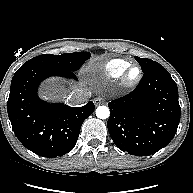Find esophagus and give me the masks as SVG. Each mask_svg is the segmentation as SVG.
<instances>
[{
	"label": "esophagus",
	"instance_id": "esophagus-1",
	"mask_svg": "<svg viewBox=\"0 0 193 193\" xmlns=\"http://www.w3.org/2000/svg\"><path fill=\"white\" fill-rule=\"evenodd\" d=\"M94 104L96 106L100 105V104H103L104 103V100L101 98V97H97L93 100Z\"/></svg>",
	"mask_w": 193,
	"mask_h": 193
}]
</instances>
